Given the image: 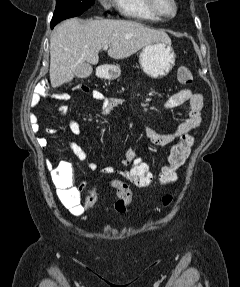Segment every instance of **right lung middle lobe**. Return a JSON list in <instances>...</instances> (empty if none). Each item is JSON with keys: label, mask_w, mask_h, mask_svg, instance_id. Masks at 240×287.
Instances as JSON below:
<instances>
[{"label": "right lung middle lobe", "mask_w": 240, "mask_h": 287, "mask_svg": "<svg viewBox=\"0 0 240 287\" xmlns=\"http://www.w3.org/2000/svg\"><path fill=\"white\" fill-rule=\"evenodd\" d=\"M95 0H56V8L51 21L55 26L60 21L78 16L93 5Z\"/></svg>", "instance_id": "dd1d6c3e"}]
</instances>
